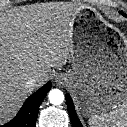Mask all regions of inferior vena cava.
I'll return each mask as SVG.
<instances>
[{
	"mask_svg": "<svg viewBox=\"0 0 127 127\" xmlns=\"http://www.w3.org/2000/svg\"><path fill=\"white\" fill-rule=\"evenodd\" d=\"M38 80V76H33L31 78L28 79V81L26 82V87L28 89H32L35 85V83L37 82Z\"/></svg>",
	"mask_w": 127,
	"mask_h": 127,
	"instance_id": "obj_1",
	"label": "inferior vena cava"
}]
</instances>
